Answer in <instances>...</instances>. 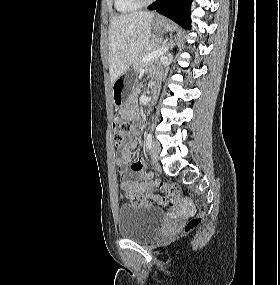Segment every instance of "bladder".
Returning <instances> with one entry per match:
<instances>
[{
  "instance_id": "bladder-1",
  "label": "bladder",
  "mask_w": 280,
  "mask_h": 285,
  "mask_svg": "<svg viewBox=\"0 0 280 285\" xmlns=\"http://www.w3.org/2000/svg\"><path fill=\"white\" fill-rule=\"evenodd\" d=\"M163 219L158 207L123 204L117 214L118 233L125 239L149 242L160 232Z\"/></svg>"
}]
</instances>
